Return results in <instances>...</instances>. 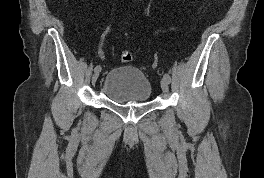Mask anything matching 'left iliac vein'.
<instances>
[{"mask_svg":"<svg viewBox=\"0 0 264 178\" xmlns=\"http://www.w3.org/2000/svg\"><path fill=\"white\" fill-rule=\"evenodd\" d=\"M161 89L164 93L169 91V82L164 77L161 79Z\"/></svg>","mask_w":264,"mask_h":178,"instance_id":"obj_1","label":"left iliac vein"}]
</instances>
